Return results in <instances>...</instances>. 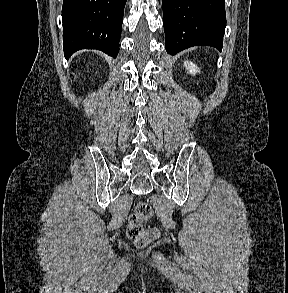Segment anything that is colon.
Returning a JSON list of instances; mask_svg holds the SVG:
<instances>
[{
	"label": "colon",
	"mask_w": 288,
	"mask_h": 293,
	"mask_svg": "<svg viewBox=\"0 0 288 293\" xmlns=\"http://www.w3.org/2000/svg\"><path fill=\"white\" fill-rule=\"evenodd\" d=\"M152 215V207L148 201L139 202L129 217L127 235L137 247H144L158 237V230L144 228L143 223Z\"/></svg>",
	"instance_id": "5ec220e1"
}]
</instances>
